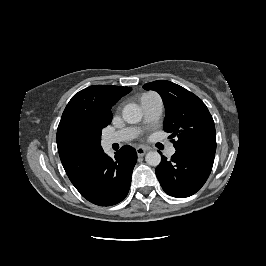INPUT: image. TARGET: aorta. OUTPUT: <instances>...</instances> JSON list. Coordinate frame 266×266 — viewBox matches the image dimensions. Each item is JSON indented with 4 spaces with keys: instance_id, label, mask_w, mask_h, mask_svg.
Segmentation results:
<instances>
[{
    "instance_id": "aorta-1",
    "label": "aorta",
    "mask_w": 266,
    "mask_h": 266,
    "mask_svg": "<svg viewBox=\"0 0 266 266\" xmlns=\"http://www.w3.org/2000/svg\"><path fill=\"white\" fill-rule=\"evenodd\" d=\"M142 110L135 104H127L122 111L123 119L130 124H135L142 119ZM145 161L150 166H158L161 162V155L157 151H150L145 156Z\"/></svg>"
}]
</instances>
